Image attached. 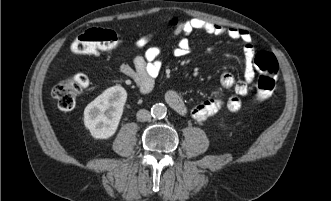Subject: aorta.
<instances>
[{"label":"aorta","instance_id":"aorta-1","mask_svg":"<svg viewBox=\"0 0 331 201\" xmlns=\"http://www.w3.org/2000/svg\"><path fill=\"white\" fill-rule=\"evenodd\" d=\"M151 114L156 119H163L167 114V108L164 104L157 103L151 108Z\"/></svg>","mask_w":331,"mask_h":201}]
</instances>
